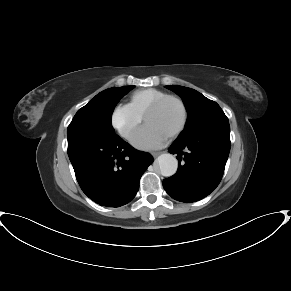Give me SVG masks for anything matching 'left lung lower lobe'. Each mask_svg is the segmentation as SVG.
<instances>
[{
    "instance_id": "0a47b994",
    "label": "left lung lower lobe",
    "mask_w": 291,
    "mask_h": 291,
    "mask_svg": "<svg viewBox=\"0 0 291 291\" xmlns=\"http://www.w3.org/2000/svg\"><path fill=\"white\" fill-rule=\"evenodd\" d=\"M230 145L229 124L176 139L169 152L177 155L178 171L163 180L165 191L173 199L186 203L209 195L221 181Z\"/></svg>"
}]
</instances>
